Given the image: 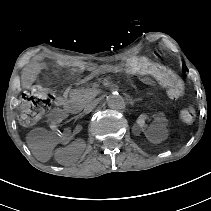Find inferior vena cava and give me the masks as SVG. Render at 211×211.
Returning <instances> with one entry per match:
<instances>
[{"instance_id":"602c4592","label":"inferior vena cava","mask_w":211,"mask_h":211,"mask_svg":"<svg viewBox=\"0 0 211 211\" xmlns=\"http://www.w3.org/2000/svg\"><path fill=\"white\" fill-rule=\"evenodd\" d=\"M94 107H95V102H90L85 106L84 111H92Z\"/></svg>"}]
</instances>
